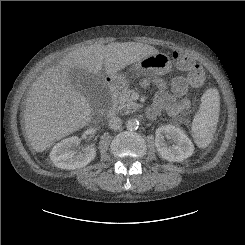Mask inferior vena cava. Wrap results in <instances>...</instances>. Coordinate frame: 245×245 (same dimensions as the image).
<instances>
[{"mask_svg":"<svg viewBox=\"0 0 245 245\" xmlns=\"http://www.w3.org/2000/svg\"><path fill=\"white\" fill-rule=\"evenodd\" d=\"M122 125V120L119 117H112L109 120V126L112 129H119Z\"/></svg>","mask_w":245,"mask_h":245,"instance_id":"602c4592","label":"inferior vena cava"}]
</instances>
